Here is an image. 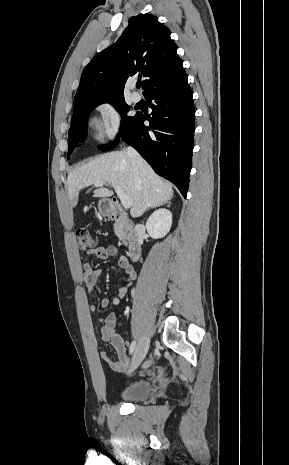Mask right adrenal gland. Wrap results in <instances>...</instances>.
<instances>
[{
    "mask_svg": "<svg viewBox=\"0 0 289 465\" xmlns=\"http://www.w3.org/2000/svg\"><path fill=\"white\" fill-rule=\"evenodd\" d=\"M156 207H157V206H152V207H151V208H149V209L156 208ZM149 209H148V210H149Z\"/></svg>",
    "mask_w": 289,
    "mask_h": 465,
    "instance_id": "obj_1",
    "label": "right adrenal gland"
}]
</instances>
